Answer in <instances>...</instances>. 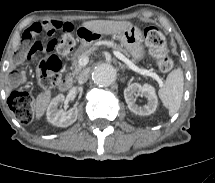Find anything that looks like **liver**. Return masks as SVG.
<instances>
[{
	"label": "liver",
	"instance_id": "6515ba94",
	"mask_svg": "<svg viewBox=\"0 0 215 183\" xmlns=\"http://www.w3.org/2000/svg\"><path fill=\"white\" fill-rule=\"evenodd\" d=\"M82 26L92 33H97L100 35H115L128 30L133 26V24L128 21L91 20L82 23ZM50 99V90H46L38 94L35 102L37 119H40L44 115Z\"/></svg>",
	"mask_w": 215,
	"mask_h": 183
}]
</instances>
